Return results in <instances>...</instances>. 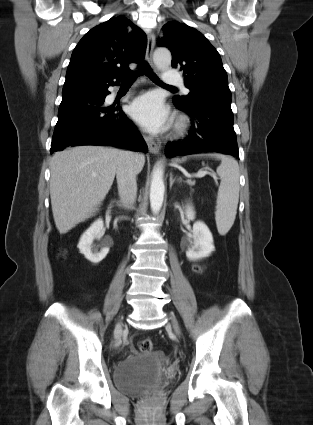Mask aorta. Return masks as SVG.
Here are the masks:
<instances>
[{
	"mask_svg": "<svg viewBox=\"0 0 313 425\" xmlns=\"http://www.w3.org/2000/svg\"><path fill=\"white\" fill-rule=\"evenodd\" d=\"M153 60L157 69L165 70L170 66L172 56L168 49L158 48L154 51ZM163 175L164 173L162 167L157 165L153 170L150 185V205L154 214H158L160 212L163 204L165 192Z\"/></svg>",
	"mask_w": 313,
	"mask_h": 425,
	"instance_id": "762f6f07",
	"label": "aorta"
}]
</instances>
